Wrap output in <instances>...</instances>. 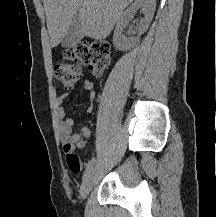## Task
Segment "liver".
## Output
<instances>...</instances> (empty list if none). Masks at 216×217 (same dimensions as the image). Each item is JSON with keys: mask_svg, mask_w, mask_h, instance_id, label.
<instances>
[{"mask_svg": "<svg viewBox=\"0 0 216 217\" xmlns=\"http://www.w3.org/2000/svg\"><path fill=\"white\" fill-rule=\"evenodd\" d=\"M133 0H44L51 46L56 47L77 16L84 35L105 39Z\"/></svg>", "mask_w": 216, "mask_h": 217, "instance_id": "1", "label": "liver"}]
</instances>
